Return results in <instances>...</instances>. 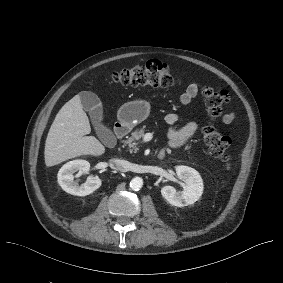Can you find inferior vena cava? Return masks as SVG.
I'll return each instance as SVG.
<instances>
[{"label":"inferior vena cava","mask_w":283,"mask_h":283,"mask_svg":"<svg viewBox=\"0 0 283 283\" xmlns=\"http://www.w3.org/2000/svg\"><path fill=\"white\" fill-rule=\"evenodd\" d=\"M114 168L116 170H119V171H124V166H123V162L121 160H115L114 161Z\"/></svg>","instance_id":"602c4592"}]
</instances>
